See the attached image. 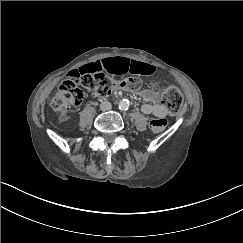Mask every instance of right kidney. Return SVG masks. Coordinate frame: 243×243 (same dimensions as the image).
Listing matches in <instances>:
<instances>
[{
    "mask_svg": "<svg viewBox=\"0 0 243 243\" xmlns=\"http://www.w3.org/2000/svg\"><path fill=\"white\" fill-rule=\"evenodd\" d=\"M67 117V111L62 110L59 114V118Z\"/></svg>",
    "mask_w": 243,
    "mask_h": 243,
    "instance_id": "ca27d5eb",
    "label": "right kidney"
}]
</instances>
